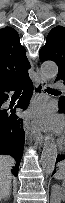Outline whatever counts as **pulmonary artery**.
<instances>
[{"label":"pulmonary artery","instance_id":"e3ab8cb5","mask_svg":"<svg viewBox=\"0 0 65 203\" xmlns=\"http://www.w3.org/2000/svg\"><path fill=\"white\" fill-rule=\"evenodd\" d=\"M53 87H55V88H61L62 85L60 83H55V84H53Z\"/></svg>","mask_w":65,"mask_h":203}]
</instances>
